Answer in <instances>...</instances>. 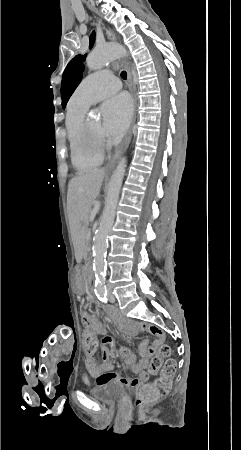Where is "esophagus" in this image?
<instances>
[{"label":"esophagus","mask_w":241,"mask_h":450,"mask_svg":"<svg viewBox=\"0 0 241 450\" xmlns=\"http://www.w3.org/2000/svg\"><path fill=\"white\" fill-rule=\"evenodd\" d=\"M107 36H108L109 40H115V35L111 32V30H107ZM123 65L127 71L128 86L132 93V98H133V123L128 131V134H127L123 144L116 151L115 155L112 157V159L109 161V163L106 165L105 168H107V169H111L112 167H114L116 161L121 157V155L128 148V145H129L131 137H132L133 124L135 123V120H136L137 97H136V91H135L134 84H133L132 74H131V71H130V68L128 67V65L126 63H124Z\"/></svg>","instance_id":"1"}]
</instances>
